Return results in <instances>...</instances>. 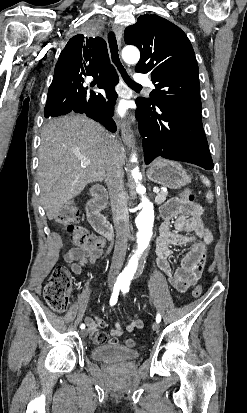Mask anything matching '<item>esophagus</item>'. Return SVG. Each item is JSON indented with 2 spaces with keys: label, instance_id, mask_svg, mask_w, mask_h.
Returning a JSON list of instances; mask_svg holds the SVG:
<instances>
[{
  "label": "esophagus",
  "instance_id": "34e87169",
  "mask_svg": "<svg viewBox=\"0 0 247 413\" xmlns=\"http://www.w3.org/2000/svg\"><path fill=\"white\" fill-rule=\"evenodd\" d=\"M113 30L115 32L116 35V39L118 42L119 47L121 46V38H122V33H123V27L121 25H115L113 27ZM121 138L123 140V142L130 146V147H134L135 146V138L133 136V130L131 129V127L129 125H121Z\"/></svg>",
  "mask_w": 247,
  "mask_h": 413
}]
</instances>
